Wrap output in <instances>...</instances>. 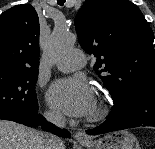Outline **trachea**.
I'll return each instance as SVG.
<instances>
[{"label": "trachea", "instance_id": "trachea-1", "mask_svg": "<svg viewBox=\"0 0 155 149\" xmlns=\"http://www.w3.org/2000/svg\"><path fill=\"white\" fill-rule=\"evenodd\" d=\"M64 2H65V0H58V4H59V5H63Z\"/></svg>", "mask_w": 155, "mask_h": 149}]
</instances>
